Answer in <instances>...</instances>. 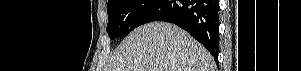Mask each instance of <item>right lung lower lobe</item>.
Segmentation results:
<instances>
[{
    "instance_id": "1",
    "label": "right lung lower lobe",
    "mask_w": 301,
    "mask_h": 71,
    "mask_svg": "<svg viewBox=\"0 0 301 71\" xmlns=\"http://www.w3.org/2000/svg\"><path fill=\"white\" fill-rule=\"evenodd\" d=\"M152 21L180 26L203 44L218 63V0H158L142 16L139 26Z\"/></svg>"
}]
</instances>
